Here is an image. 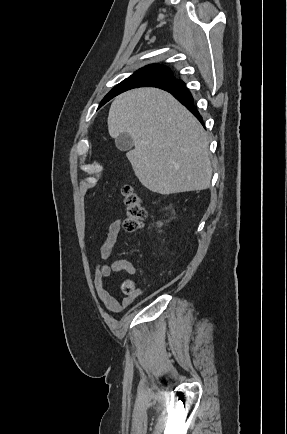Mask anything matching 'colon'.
Masks as SVG:
<instances>
[{
	"mask_svg": "<svg viewBox=\"0 0 287 434\" xmlns=\"http://www.w3.org/2000/svg\"><path fill=\"white\" fill-rule=\"evenodd\" d=\"M122 193L125 202L124 228L127 232H135L142 228L146 219L143 201L141 196L130 185L123 186ZM122 291L128 295L134 293V282L130 280L124 281Z\"/></svg>",
	"mask_w": 287,
	"mask_h": 434,
	"instance_id": "obj_1",
	"label": "colon"
}]
</instances>
